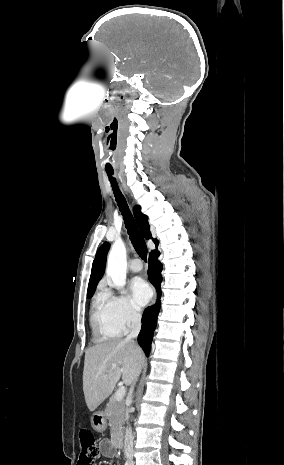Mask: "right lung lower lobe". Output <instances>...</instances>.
Listing matches in <instances>:
<instances>
[{
	"label": "right lung lower lobe",
	"instance_id": "obj_1",
	"mask_svg": "<svg viewBox=\"0 0 284 465\" xmlns=\"http://www.w3.org/2000/svg\"><path fill=\"white\" fill-rule=\"evenodd\" d=\"M159 252L152 251L149 256L148 277L150 282L156 287L158 299L154 306L148 307L142 317V329L138 336V343L143 348L146 356H149L151 349V342L153 339V332L157 323V316L160 310V284L162 282V264L158 260Z\"/></svg>",
	"mask_w": 284,
	"mask_h": 465
}]
</instances>
